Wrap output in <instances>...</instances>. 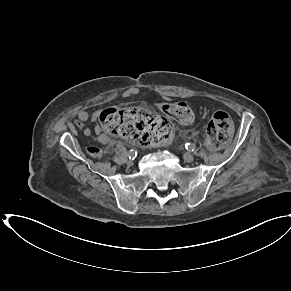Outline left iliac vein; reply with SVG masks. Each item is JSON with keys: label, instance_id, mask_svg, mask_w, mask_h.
Masks as SVG:
<instances>
[{"label": "left iliac vein", "instance_id": "obj_1", "mask_svg": "<svg viewBox=\"0 0 291 291\" xmlns=\"http://www.w3.org/2000/svg\"><path fill=\"white\" fill-rule=\"evenodd\" d=\"M183 159L185 162L190 163L194 161V156L191 153H184Z\"/></svg>", "mask_w": 291, "mask_h": 291}]
</instances>
